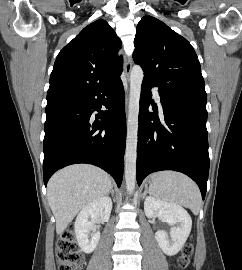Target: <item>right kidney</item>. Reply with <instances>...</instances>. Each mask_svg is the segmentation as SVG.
I'll return each mask as SVG.
<instances>
[{
    "label": "right kidney",
    "mask_w": 242,
    "mask_h": 270,
    "mask_svg": "<svg viewBox=\"0 0 242 270\" xmlns=\"http://www.w3.org/2000/svg\"><path fill=\"white\" fill-rule=\"evenodd\" d=\"M111 210L112 201L109 197L104 196L88 203L77 215L74 230L77 242L85 253H91L99 242L100 232L95 226L96 221H108ZM90 235L91 238H89Z\"/></svg>",
    "instance_id": "1"
}]
</instances>
